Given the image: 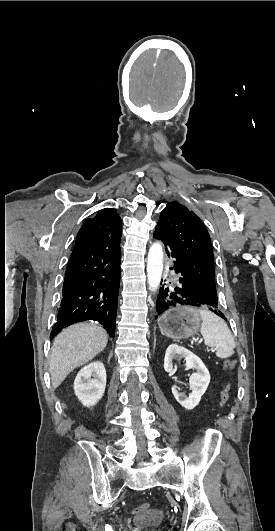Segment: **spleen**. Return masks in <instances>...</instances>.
Masks as SVG:
<instances>
[{
    "mask_svg": "<svg viewBox=\"0 0 275 531\" xmlns=\"http://www.w3.org/2000/svg\"><path fill=\"white\" fill-rule=\"evenodd\" d=\"M201 317L200 333L207 347L216 349V357L228 359L234 355L235 341L224 319L208 311V309H196Z\"/></svg>",
    "mask_w": 275,
    "mask_h": 531,
    "instance_id": "1",
    "label": "spleen"
}]
</instances>
